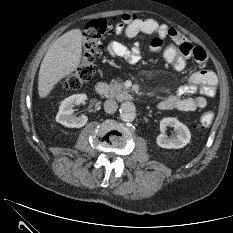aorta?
I'll return each mask as SVG.
<instances>
[{
	"instance_id": "1",
	"label": "aorta",
	"mask_w": 233,
	"mask_h": 233,
	"mask_svg": "<svg viewBox=\"0 0 233 233\" xmlns=\"http://www.w3.org/2000/svg\"><path fill=\"white\" fill-rule=\"evenodd\" d=\"M136 117V107L133 102L125 101L120 106V118L124 122H132Z\"/></svg>"
}]
</instances>
